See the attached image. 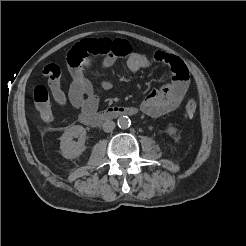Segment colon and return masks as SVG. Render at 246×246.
I'll return each mask as SVG.
<instances>
[{
  "instance_id": "5ec220e1",
  "label": "colon",
  "mask_w": 246,
  "mask_h": 246,
  "mask_svg": "<svg viewBox=\"0 0 246 246\" xmlns=\"http://www.w3.org/2000/svg\"><path fill=\"white\" fill-rule=\"evenodd\" d=\"M34 102L39 116L47 122H52L55 119L50 105L49 93L44 86H37L34 89ZM197 111V104L193 98H190L185 105L184 117L192 119Z\"/></svg>"
}]
</instances>
